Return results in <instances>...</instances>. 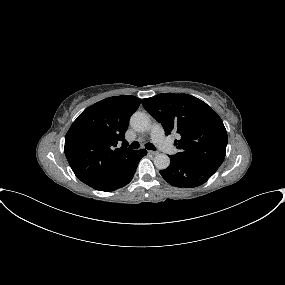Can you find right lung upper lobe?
Here are the masks:
<instances>
[{
    "instance_id": "right-lung-upper-lobe-1",
    "label": "right lung upper lobe",
    "mask_w": 285,
    "mask_h": 285,
    "mask_svg": "<svg viewBox=\"0 0 285 285\" xmlns=\"http://www.w3.org/2000/svg\"><path fill=\"white\" fill-rule=\"evenodd\" d=\"M135 96H114L86 108L73 122L65 137V155L74 174L92 186L123 173L136 151L125 147L124 134L130 115L139 107Z\"/></svg>"
}]
</instances>
